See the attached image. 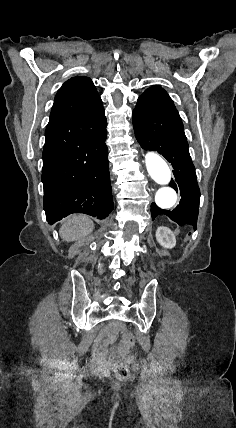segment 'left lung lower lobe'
Instances as JSON below:
<instances>
[{
    "label": "left lung lower lobe",
    "mask_w": 236,
    "mask_h": 428,
    "mask_svg": "<svg viewBox=\"0 0 236 428\" xmlns=\"http://www.w3.org/2000/svg\"><path fill=\"white\" fill-rule=\"evenodd\" d=\"M133 127L143 149L157 151L171 163L175 179L169 185L182 197L174 210H163L152 203V220L163 214L179 226L191 225L196 230L200 190L177 109L137 104L133 111Z\"/></svg>",
    "instance_id": "left-lung-lower-lobe-1"
}]
</instances>
